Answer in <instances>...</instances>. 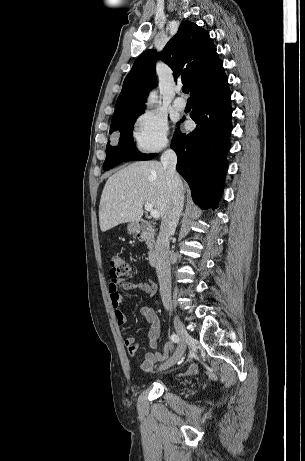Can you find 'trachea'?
<instances>
[{"label":"trachea","instance_id":"1","mask_svg":"<svg viewBox=\"0 0 305 461\" xmlns=\"http://www.w3.org/2000/svg\"><path fill=\"white\" fill-rule=\"evenodd\" d=\"M182 91H183L184 93H188V92H189V88H188L187 86H183Z\"/></svg>","mask_w":305,"mask_h":461}]
</instances>
